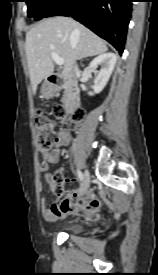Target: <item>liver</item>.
I'll list each match as a JSON object with an SVG mask.
<instances>
[{"mask_svg":"<svg viewBox=\"0 0 158 275\" xmlns=\"http://www.w3.org/2000/svg\"><path fill=\"white\" fill-rule=\"evenodd\" d=\"M106 43L75 20L56 16L42 20L31 28L25 39V52L33 94L38 84L53 74L51 52L64 60V78L73 76L76 60L104 54Z\"/></svg>","mask_w":158,"mask_h":275,"instance_id":"6515ba94","label":"liver"}]
</instances>
